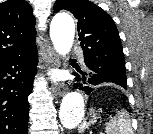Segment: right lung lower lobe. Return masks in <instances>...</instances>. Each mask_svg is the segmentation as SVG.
Listing matches in <instances>:
<instances>
[{
  "label": "right lung lower lobe",
  "instance_id": "98d812e1",
  "mask_svg": "<svg viewBox=\"0 0 153 134\" xmlns=\"http://www.w3.org/2000/svg\"><path fill=\"white\" fill-rule=\"evenodd\" d=\"M37 47L0 62V134H27Z\"/></svg>",
  "mask_w": 153,
  "mask_h": 134
}]
</instances>
